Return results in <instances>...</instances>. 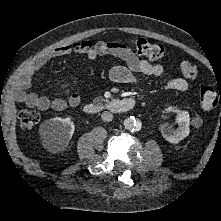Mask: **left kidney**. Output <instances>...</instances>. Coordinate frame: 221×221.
<instances>
[{"instance_id": "left-kidney-1", "label": "left kidney", "mask_w": 221, "mask_h": 221, "mask_svg": "<svg viewBox=\"0 0 221 221\" xmlns=\"http://www.w3.org/2000/svg\"><path fill=\"white\" fill-rule=\"evenodd\" d=\"M170 112H175L176 123H178L177 130H171L167 123L161 124L159 129L162 136L170 143H178L189 135L190 132V115L187 111H181L176 107H168L166 109Z\"/></svg>"}]
</instances>
